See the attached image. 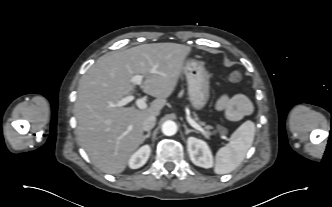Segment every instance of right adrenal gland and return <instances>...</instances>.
I'll use <instances>...</instances> for the list:
<instances>
[{"label": "right adrenal gland", "instance_id": "obj_1", "mask_svg": "<svg viewBox=\"0 0 332 207\" xmlns=\"http://www.w3.org/2000/svg\"><path fill=\"white\" fill-rule=\"evenodd\" d=\"M150 134H151V132L148 131V133H147L146 135L143 136V141H145L147 138H149V137H150Z\"/></svg>", "mask_w": 332, "mask_h": 207}]
</instances>
